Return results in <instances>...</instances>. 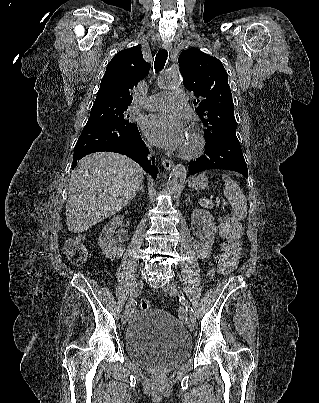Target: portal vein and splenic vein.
<instances>
[{
	"label": "portal vein and splenic vein",
	"instance_id": "18ae733b",
	"mask_svg": "<svg viewBox=\"0 0 319 403\" xmlns=\"http://www.w3.org/2000/svg\"><path fill=\"white\" fill-rule=\"evenodd\" d=\"M216 203H217V204H219V203H220V200H219V198H218V197L216 198Z\"/></svg>",
	"mask_w": 319,
	"mask_h": 403
}]
</instances>
